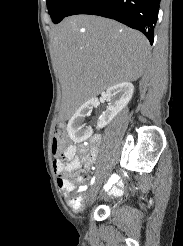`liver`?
<instances>
[{"instance_id":"1","label":"liver","mask_w":183,"mask_h":246,"mask_svg":"<svg viewBox=\"0 0 183 246\" xmlns=\"http://www.w3.org/2000/svg\"><path fill=\"white\" fill-rule=\"evenodd\" d=\"M51 36L67 116L107 88L139 79L150 55L143 34L95 15L68 17Z\"/></svg>"}]
</instances>
